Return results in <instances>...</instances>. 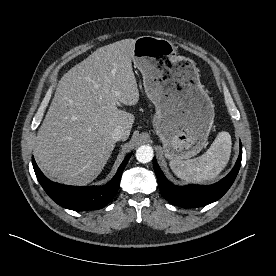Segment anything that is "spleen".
Instances as JSON below:
<instances>
[{
  "label": "spleen",
  "instance_id": "1",
  "mask_svg": "<svg viewBox=\"0 0 276 276\" xmlns=\"http://www.w3.org/2000/svg\"><path fill=\"white\" fill-rule=\"evenodd\" d=\"M231 136L226 131L218 133L210 148L201 156L189 160H172L170 167L180 179L203 182L214 179L227 165L231 153Z\"/></svg>",
  "mask_w": 276,
  "mask_h": 276
}]
</instances>
